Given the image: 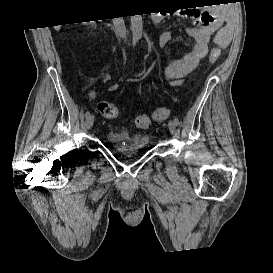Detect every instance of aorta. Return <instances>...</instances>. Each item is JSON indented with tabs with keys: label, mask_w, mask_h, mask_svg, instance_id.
<instances>
[{
	"label": "aorta",
	"mask_w": 273,
	"mask_h": 273,
	"mask_svg": "<svg viewBox=\"0 0 273 273\" xmlns=\"http://www.w3.org/2000/svg\"><path fill=\"white\" fill-rule=\"evenodd\" d=\"M132 38L134 41H138L142 38L143 22L142 15H134L130 17Z\"/></svg>",
	"instance_id": "762f6f07"
}]
</instances>
